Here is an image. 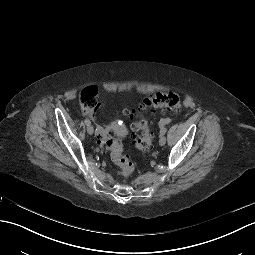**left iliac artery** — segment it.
Wrapping results in <instances>:
<instances>
[{
  "mask_svg": "<svg viewBox=\"0 0 255 255\" xmlns=\"http://www.w3.org/2000/svg\"><path fill=\"white\" fill-rule=\"evenodd\" d=\"M167 132V128L163 127L160 130L161 135H164Z\"/></svg>",
  "mask_w": 255,
  "mask_h": 255,
  "instance_id": "1",
  "label": "left iliac artery"
}]
</instances>
